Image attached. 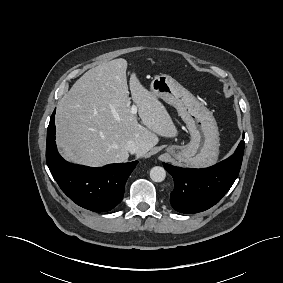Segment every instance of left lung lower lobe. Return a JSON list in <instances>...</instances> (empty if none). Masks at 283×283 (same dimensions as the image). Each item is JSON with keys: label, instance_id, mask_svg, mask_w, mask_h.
<instances>
[{"label": "left lung lower lobe", "instance_id": "0a47b994", "mask_svg": "<svg viewBox=\"0 0 283 283\" xmlns=\"http://www.w3.org/2000/svg\"><path fill=\"white\" fill-rule=\"evenodd\" d=\"M244 144L241 141L231 157L209 168L188 169L163 163L174 179V190L170 195L172 207L178 212L192 214L219 202L239 174Z\"/></svg>", "mask_w": 283, "mask_h": 283}]
</instances>
